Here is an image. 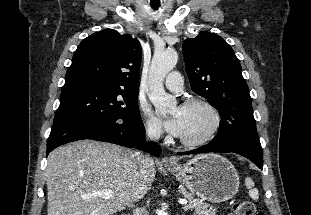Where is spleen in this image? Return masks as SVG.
Masks as SVG:
<instances>
[{
  "mask_svg": "<svg viewBox=\"0 0 311 215\" xmlns=\"http://www.w3.org/2000/svg\"><path fill=\"white\" fill-rule=\"evenodd\" d=\"M245 185H246L247 189H249V196L253 200H258V198H259L258 190L256 188H254V182L250 177H247L245 179Z\"/></svg>",
  "mask_w": 311,
  "mask_h": 215,
  "instance_id": "3e777b00",
  "label": "spleen"
}]
</instances>
